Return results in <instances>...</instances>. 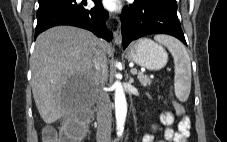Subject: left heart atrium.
I'll return each instance as SVG.
<instances>
[{
  "mask_svg": "<svg viewBox=\"0 0 227 142\" xmlns=\"http://www.w3.org/2000/svg\"><path fill=\"white\" fill-rule=\"evenodd\" d=\"M103 5L108 10H116L118 8V5L120 3V0H103Z\"/></svg>",
  "mask_w": 227,
  "mask_h": 142,
  "instance_id": "1",
  "label": "left heart atrium"
}]
</instances>
